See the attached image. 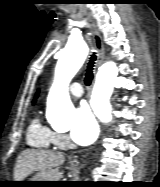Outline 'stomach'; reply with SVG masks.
<instances>
[{"label": "stomach", "instance_id": "stomach-1", "mask_svg": "<svg viewBox=\"0 0 160 187\" xmlns=\"http://www.w3.org/2000/svg\"><path fill=\"white\" fill-rule=\"evenodd\" d=\"M58 179H59V174L56 170H48L45 172H39L31 180H28V181H36V182L24 183L21 186L49 187V186H53L55 182H48V181H58Z\"/></svg>", "mask_w": 160, "mask_h": 187}]
</instances>
